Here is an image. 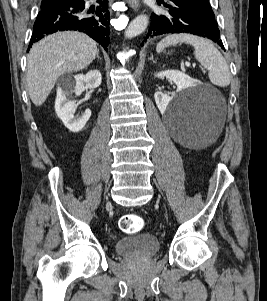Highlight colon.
<instances>
[{
  "instance_id": "5ec220e1",
  "label": "colon",
  "mask_w": 267,
  "mask_h": 301,
  "mask_svg": "<svg viewBox=\"0 0 267 301\" xmlns=\"http://www.w3.org/2000/svg\"><path fill=\"white\" fill-rule=\"evenodd\" d=\"M144 220L137 214H125L120 218L119 227L125 233H137L142 230Z\"/></svg>"
}]
</instances>
